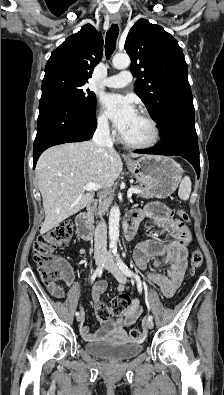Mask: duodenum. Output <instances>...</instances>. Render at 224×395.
Returning a JSON list of instances; mask_svg holds the SVG:
<instances>
[{"instance_id": "obj_1", "label": "duodenum", "mask_w": 224, "mask_h": 395, "mask_svg": "<svg viewBox=\"0 0 224 395\" xmlns=\"http://www.w3.org/2000/svg\"><path fill=\"white\" fill-rule=\"evenodd\" d=\"M96 206V200H92L75 219V227L80 238L90 240L93 237L94 227L92 224V213ZM141 219L139 211L130 212L124 219V235L126 242H129L135 235Z\"/></svg>"}]
</instances>
